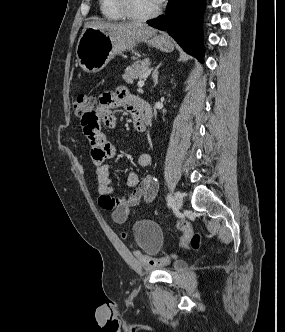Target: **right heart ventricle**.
<instances>
[{"label":"right heart ventricle","instance_id":"obj_1","mask_svg":"<svg viewBox=\"0 0 285 332\" xmlns=\"http://www.w3.org/2000/svg\"><path fill=\"white\" fill-rule=\"evenodd\" d=\"M101 15L109 21H124L127 17L120 11L116 0H99Z\"/></svg>","mask_w":285,"mask_h":332}]
</instances>
